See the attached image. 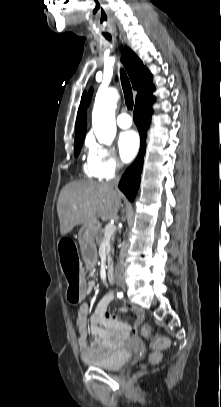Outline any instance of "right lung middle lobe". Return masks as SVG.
<instances>
[{
  "label": "right lung middle lobe",
  "mask_w": 221,
  "mask_h": 407,
  "mask_svg": "<svg viewBox=\"0 0 221 407\" xmlns=\"http://www.w3.org/2000/svg\"><path fill=\"white\" fill-rule=\"evenodd\" d=\"M83 142L74 143V153L75 156H78L80 149L82 147Z\"/></svg>",
  "instance_id": "obj_1"
}]
</instances>
